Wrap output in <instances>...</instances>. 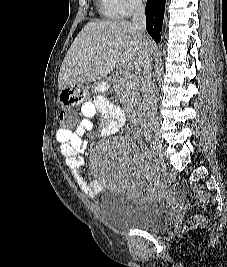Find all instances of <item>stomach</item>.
<instances>
[{"mask_svg":"<svg viewBox=\"0 0 227 267\" xmlns=\"http://www.w3.org/2000/svg\"><path fill=\"white\" fill-rule=\"evenodd\" d=\"M81 82H70V87H61L58 91L56 101H62V107H77L86 103L89 87H81ZM110 85H97V90H110Z\"/></svg>","mask_w":227,"mask_h":267,"instance_id":"obj_1","label":"stomach"}]
</instances>
